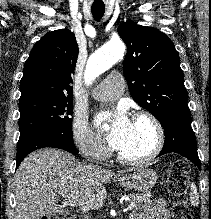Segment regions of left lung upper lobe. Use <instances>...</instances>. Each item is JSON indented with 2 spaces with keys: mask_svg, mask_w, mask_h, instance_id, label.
I'll return each mask as SVG.
<instances>
[{
  "mask_svg": "<svg viewBox=\"0 0 211 219\" xmlns=\"http://www.w3.org/2000/svg\"><path fill=\"white\" fill-rule=\"evenodd\" d=\"M118 33L127 45L123 72L134 100L161 124L174 113H189L179 55L168 36L129 22Z\"/></svg>",
  "mask_w": 211,
  "mask_h": 219,
  "instance_id": "obj_1",
  "label": "left lung upper lobe"
}]
</instances>
